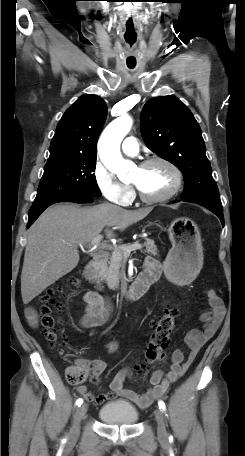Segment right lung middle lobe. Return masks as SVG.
I'll return each mask as SVG.
<instances>
[{"mask_svg": "<svg viewBox=\"0 0 245 456\" xmlns=\"http://www.w3.org/2000/svg\"><path fill=\"white\" fill-rule=\"evenodd\" d=\"M96 156L61 159L46 163L33 205L70 196L100 197L93 172Z\"/></svg>", "mask_w": 245, "mask_h": 456, "instance_id": "right-lung-middle-lobe-1", "label": "right lung middle lobe"}]
</instances>
